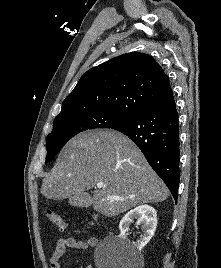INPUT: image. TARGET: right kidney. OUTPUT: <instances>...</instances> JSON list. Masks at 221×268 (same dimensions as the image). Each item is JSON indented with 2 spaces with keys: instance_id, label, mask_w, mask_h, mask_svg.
I'll return each mask as SVG.
<instances>
[{
  "instance_id": "1",
  "label": "right kidney",
  "mask_w": 221,
  "mask_h": 268,
  "mask_svg": "<svg viewBox=\"0 0 221 268\" xmlns=\"http://www.w3.org/2000/svg\"><path fill=\"white\" fill-rule=\"evenodd\" d=\"M134 219L137 220V225H142L143 235L133 243L135 249L141 251L154 235L157 226V212L149 205H140L129 211L119 223L121 240L128 241L127 232Z\"/></svg>"
}]
</instances>
